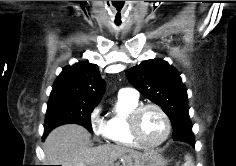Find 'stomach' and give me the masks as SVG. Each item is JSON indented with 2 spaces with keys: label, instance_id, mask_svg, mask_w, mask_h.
<instances>
[{
  "label": "stomach",
  "instance_id": "obj_1",
  "mask_svg": "<svg viewBox=\"0 0 236 166\" xmlns=\"http://www.w3.org/2000/svg\"><path fill=\"white\" fill-rule=\"evenodd\" d=\"M166 161L161 154L156 151H149L144 153V156L140 159L139 164L131 163L123 166H165ZM120 166V165H117Z\"/></svg>",
  "mask_w": 236,
  "mask_h": 166
}]
</instances>
